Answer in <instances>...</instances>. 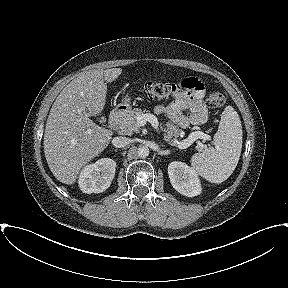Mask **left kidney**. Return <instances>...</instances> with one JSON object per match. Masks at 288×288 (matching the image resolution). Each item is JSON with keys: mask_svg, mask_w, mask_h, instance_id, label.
Masks as SVG:
<instances>
[{"mask_svg": "<svg viewBox=\"0 0 288 288\" xmlns=\"http://www.w3.org/2000/svg\"><path fill=\"white\" fill-rule=\"evenodd\" d=\"M170 182L180 194L194 197L201 193V184L197 173L183 162L174 161L168 165Z\"/></svg>", "mask_w": 288, "mask_h": 288, "instance_id": "5707ae66", "label": "left kidney"}]
</instances>
